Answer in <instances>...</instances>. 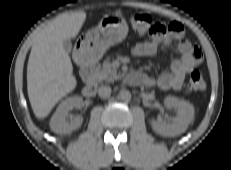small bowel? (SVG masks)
<instances>
[{"instance_id": "1", "label": "small bowel", "mask_w": 231, "mask_h": 170, "mask_svg": "<svg viewBox=\"0 0 231 170\" xmlns=\"http://www.w3.org/2000/svg\"><path fill=\"white\" fill-rule=\"evenodd\" d=\"M183 35V25L174 21L167 26L165 35L151 37L136 44L132 49L135 56L152 57L160 46L174 45L179 58L172 60L170 69L161 73L157 78L136 72L132 76L133 80L146 86H156L161 90H180L186 75L191 73L202 60V50L197 46H193Z\"/></svg>"}]
</instances>
